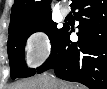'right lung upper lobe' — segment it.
Returning a JSON list of instances; mask_svg holds the SVG:
<instances>
[{"label":"right lung upper lobe","mask_w":107,"mask_h":89,"mask_svg":"<svg viewBox=\"0 0 107 89\" xmlns=\"http://www.w3.org/2000/svg\"><path fill=\"white\" fill-rule=\"evenodd\" d=\"M74 0H72V3ZM49 0H15L11 11L10 26L51 17Z\"/></svg>","instance_id":"1"}]
</instances>
